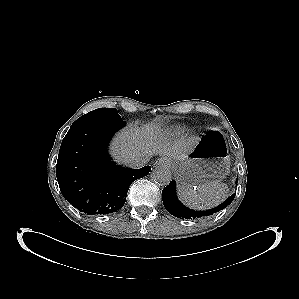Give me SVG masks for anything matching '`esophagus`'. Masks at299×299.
<instances>
[{
  "label": "esophagus",
  "instance_id": "34e87169",
  "mask_svg": "<svg viewBox=\"0 0 299 299\" xmlns=\"http://www.w3.org/2000/svg\"><path fill=\"white\" fill-rule=\"evenodd\" d=\"M171 161L167 158H160L155 162V166H169Z\"/></svg>",
  "mask_w": 299,
  "mask_h": 299
}]
</instances>
